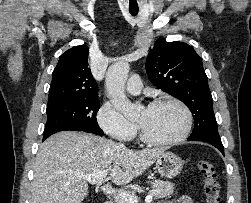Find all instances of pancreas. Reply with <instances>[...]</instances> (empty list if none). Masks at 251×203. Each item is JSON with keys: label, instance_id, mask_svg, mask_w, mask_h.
<instances>
[{"label": "pancreas", "instance_id": "cf45deb5", "mask_svg": "<svg viewBox=\"0 0 251 203\" xmlns=\"http://www.w3.org/2000/svg\"><path fill=\"white\" fill-rule=\"evenodd\" d=\"M150 184L152 185V190L150 191V194L156 199L167 197L171 195L174 191V184L168 181L154 180L150 182ZM127 192L135 195V191H127ZM115 203H127V202L119 198L115 199Z\"/></svg>", "mask_w": 251, "mask_h": 203}]
</instances>
